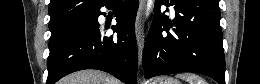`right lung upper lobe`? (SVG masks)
<instances>
[{"label":"right lung upper lobe","instance_id":"1","mask_svg":"<svg viewBox=\"0 0 260 84\" xmlns=\"http://www.w3.org/2000/svg\"><path fill=\"white\" fill-rule=\"evenodd\" d=\"M108 0H51L49 28H55L79 17L96 13Z\"/></svg>","mask_w":260,"mask_h":84}]
</instances>
